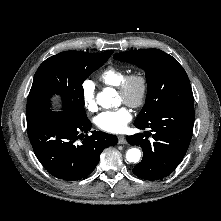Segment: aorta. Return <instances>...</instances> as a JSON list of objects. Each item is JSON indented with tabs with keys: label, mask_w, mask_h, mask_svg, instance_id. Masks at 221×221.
Listing matches in <instances>:
<instances>
[{
	"label": "aorta",
	"mask_w": 221,
	"mask_h": 221,
	"mask_svg": "<svg viewBox=\"0 0 221 221\" xmlns=\"http://www.w3.org/2000/svg\"><path fill=\"white\" fill-rule=\"evenodd\" d=\"M115 91L107 88L97 94V103L103 108H111L113 106ZM141 158V151L138 148L128 149L126 159L130 163H138Z\"/></svg>",
	"instance_id": "762f6f07"
}]
</instances>
